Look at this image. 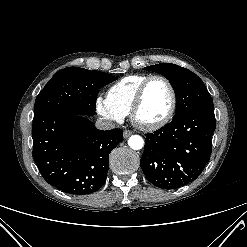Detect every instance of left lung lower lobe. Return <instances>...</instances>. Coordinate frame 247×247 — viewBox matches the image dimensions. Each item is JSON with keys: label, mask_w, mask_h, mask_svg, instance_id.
Masks as SVG:
<instances>
[{"label": "left lung lower lobe", "mask_w": 247, "mask_h": 247, "mask_svg": "<svg viewBox=\"0 0 247 247\" xmlns=\"http://www.w3.org/2000/svg\"><path fill=\"white\" fill-rule=\"evenodd\" d=\"M215 125L212 109H198L146 134L140 160L146 179L162 189H176L194 181L210 158Z\"/></svg>", "instance_id": "obj_1"}]
</instances>
